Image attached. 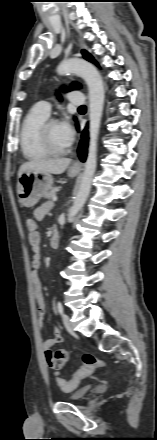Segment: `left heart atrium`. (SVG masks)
Instances as JSON below:
<instances>
[{
    "label": "left heart atrium",
    "mask_w": 157,
    "mask_h": 440,
    "mask_svg": "<svg viewBox=\"0 0 157 440\" xmlns=\"http://www.w3.org/2000/svg\"><path fill=\"white\" fill-rule=\"evenodd\" d=\"M59 125H60L62 135L64 136V138L66 139V141L70 145L73 142L74 137H75V131H74L73 126L71 125V123L68 120H64V121L60 122Z\"/></svg>",
    "instance_id": "left-heart-atrium-1"
}]
</instances>
